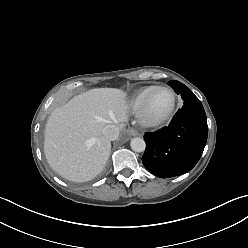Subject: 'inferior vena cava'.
I'll list each match as a JSON object with an SVG mask.
<instances>
[{
	"label": "inferior vena cava",
	"instance_id": "1",
	"mask_svg": "<svg viewBox=\"0 0 248 248\" xmlns=\"http://www.w3.org/2000/svg\"><path fill=\"white\" fill-rule=\"evenodd\" d=\"M120 133V127L116 124L107 125L103 130V135L110 141L116 140Z\"/></svg>",
	"mask_w": 248,
	"mask_h": 248
}]
</instances>
